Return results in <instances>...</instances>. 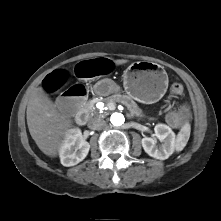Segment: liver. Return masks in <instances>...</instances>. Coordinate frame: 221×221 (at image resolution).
Returning <instances> with one entry per match:
<instances>
[{"mask_svg": "<svg viewBox=\"0 0 221 221\" xmlns=\"http://www.w3.org/2000/svg\"><path fill=\"white\" fill-rule=\"evenodd\" d=\"M128 60L118 59L115 65H122ZM27 125L32 139L47 156L56 157L72 120L61 115L54 103L41 87L36 88L27 105Z\"/></svg>", "mask_w": 221, "mask_h": 221, "instance_id": "obj_1", "label": "liver"}]
</instances>
